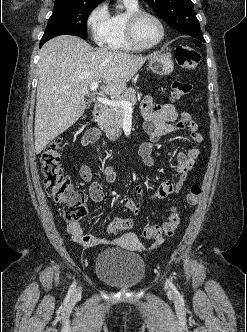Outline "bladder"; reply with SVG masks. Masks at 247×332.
Instances as JSON below:
<instances>
[{"label":"bladder","instance_id":"obj_1","mask_svg":"<svg viewBox=\"0 0 247 332\" xmlns=\"http://www.w3.org/2000/svg\"><path fill=\"white\" fill-rule=\"evenodd\" d=\"M97 278L118 289H132L144 279L146 265L141 255L120 247L99 253L95 263Z\"/></svg>","mask_w":247,"mask_h":332}]
</instances>
